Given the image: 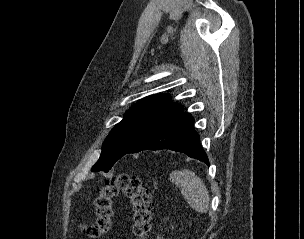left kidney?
Returning a JSON list of instances; mask_svg holds the SVG:
<instances>
[{"label":"left kidney","instance_id":"obj_1","mask_svg":"<svg viewBox=\"0 0 304 239\" xmlns=\"http://www.w3.org/2000/svg\"><path fill=\"white\" fill-rule=\"evenodd\" d=\"M157 239H163V238H161V237H158Z\"/></svg>","mask_w":304,"mask_h":239}]
</instances>
